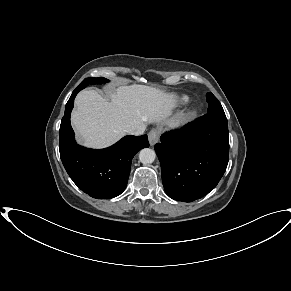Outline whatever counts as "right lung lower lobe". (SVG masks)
Instances as JSON below:
<instances>
[{"label": "right lung lower lobe", "mask_w": 291, "mask_h": 291, "mask_svg": "<svg viewBox=\"0 0 291 291\" xmlns=\"http://www.w3.org/2000/svg\"><path fill=\"white\" fill-rule=\"evenodd\" d=\"M79 85L68 100L62 118L60 157L73 182L86 194L97 199L120 195L128 182L131 161L142 148L149 147L147 135L126 136L111 147L94 150L78 145L70 124V114Z\"/></svg>", "instance_id": "1"}]
</instances>
